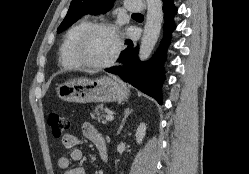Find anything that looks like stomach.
Returning <instances> with one entry per match:
<instances>
[{"label": "stomach", "instance_id": "0dacf381", "mask_svg": "<svg viewBox=\"0 0 249 174\" xmlns=\"http://www.w3.org/2000/svg\"><path fill=\"white\" fill-rule=\"evenodd\" d=\"M56 91L62 100L77 103L121 102L129 95L126 85L115 77L69 80L58 85Z\"/></svg>", "mask_w": 249, "mask_h": 174}]
</instances>
